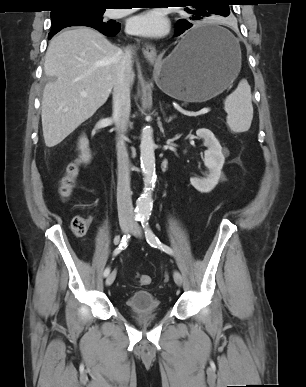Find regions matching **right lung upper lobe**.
<instances>
[{
	"mask_svg": "<svg viewBox=\"0 0 306 387\" xmlns=\"http://www.w3.org/2000/svg\"><path fill=\"white\" fill-rule=\"evenodd\" d=\"M57 9L52 12L61 11L62 8L73 6H95L102 7L109 5V0H56Z\"/></svg>",
	"mask_w": 306,
	"mask_h": 387,
	"instance_id": "right-lung-upper-lobe-1",
	"label": "right lung upper lobe"
}]
</instances>
